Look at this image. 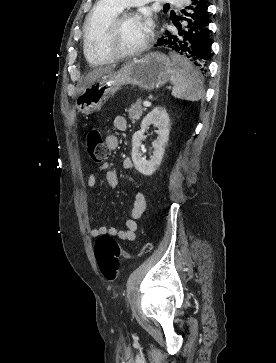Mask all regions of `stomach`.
I'll list each match as a JSON object with an SVG mask.
<instances>
[{"label":"stomach","instance_id":"0dacf381","mask_svg":"<svg viewBox=\"0 0 276 363\" xmlns=\"http://www.w3.org/2000/svg\"><path fill=\"white\" fill-rule=\"evenodd\" d=\"M172 69L170 58L160 52L133 59L119 70L103 75L90 83L78 95L76 107L79 112L86 115L97 112L123 85L127 84L146 91L158 89L171 79Z\"/></svg>","mask_w":276,"mask_h":363}]
</instances>
